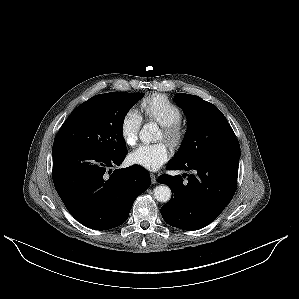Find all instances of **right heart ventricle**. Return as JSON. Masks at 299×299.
<instances>
[{"instance_id": "1", "label": "right heart ventricle", "mask_w": 299, "mask_h": 299, "mask_svg": "<svg viewBox=\"0 0 299 299\" xmlns=\"http://www.w3.org/2000/svg\"><path fill=\"white\" fill-rule=\"evenodd\" d=\"M141 116L161 125L178 123L182 119L181 109L164 94H153L140 103Z\"/></svg>"}]
</instances>
